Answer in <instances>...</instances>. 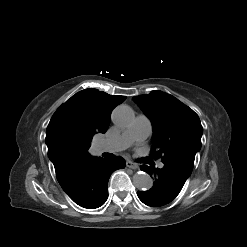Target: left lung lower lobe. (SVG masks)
Masks as SVG:
<instances>
[{
  "instance_id": "1",
  "label": "left lung lower lobe",
  "mask_w": 247,
  "mask_h": 247,
  "mask_svg": "<svg viewBox=\"0 0 247 247\" xmlns=\"http://www.w3.org/2000/svg\"><path fill=\"white\" fill-rule=\"evenodd\" d=\"M141 169L153 176L155 182L150 190L138 191L137 195L144 204L152 207L163 206L176 198L189 177L170 165L161 169L142 165Z\"/></svg>"
}]
</instances>
